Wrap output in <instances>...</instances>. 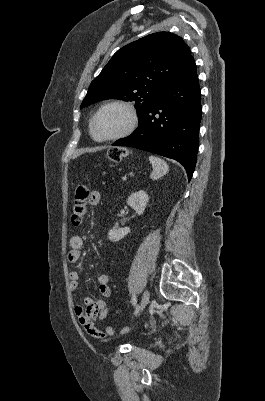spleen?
Here are the masks:
<instances>
[{
  "label": "spleen",
  "mask_w": 265,
  "mask_h": 401,
  "mask_svg": "<svg viewBox=\"0 0 265 401\" xmlns=\"http://www.w3.org/2000/svg\"><path fill=\"white\" fill-rule=\"evenodd\" d=\"M149 160L153 168L150 174V178H152V180H157V178H161V176L167 174L169 166L166 160H163V158H158V156H149Z\"/></svg>",
  "instance_id": "3e777b00"
}]
</instances>
